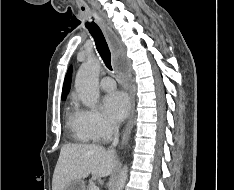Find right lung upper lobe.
<instances>
[{"instance_id":"1","label":"right lung upper lobe","mask_w":234,"mask_h":190,"mask_svg":"<svg viewBox=\"0 0 234 190\" xmlns=\"http://www.w3.org/2000/svg\"><path fill=\"white\" fill-rule=\"evenodd\" d=\"M71 75H72V67L69 68L65 76L63 90H62V99H66V96L69 92L70 84H71Z\"/></svg>"}]
</instances>
